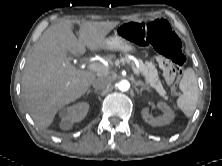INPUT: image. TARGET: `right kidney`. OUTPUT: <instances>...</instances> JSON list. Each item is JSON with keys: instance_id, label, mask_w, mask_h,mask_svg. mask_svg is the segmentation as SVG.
Listing matches in <instances>:
<instances>
[{"instance_id": "right-kidney-1", "label": "right kidney", "mask_w": 222, "mask_h": 166, "mask_svg": "<svg viewBox=\"0 0 222 166\" xmlns=\"http://www.w3.org/2000/svg\"><path fill=\"white\" fill-rule=\"evenodd\" d=\"M88 110L89 104L86 102H79L61 109L59 112L61 129L70 130L75 122H80L85 118Z\"/></svg>"}]
</instances>
